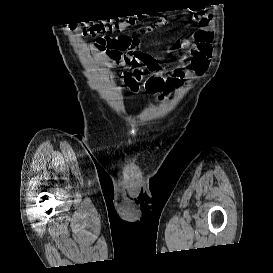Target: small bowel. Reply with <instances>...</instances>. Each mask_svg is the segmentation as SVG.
Here are the masks:
<instances>
[{
	"instance_id": "c3829d8e",
	"label": "small bowel",
	"mask_w": 273,
	"mask_h": 273,
	"mask_svg": "<svg viewBox=\"0 0 273 273\" xmlns=\"http://www.w3.org/2000/svg\"><path fill=\"white\" fill-rule=\"evenodd\" d=\"M192 20L197 25L196 31L189 39L177 40L167 50L168 54L181 58L179 64L170 70L164 71L157 62L162 54L147 53L131 46V37L127 35L100 37L94 43V48L107 61L127 68L118 74V79L130 93L136 94L144 86L150 96L160 93L158 99L161 100L186 82L203 75L209 67L214 39L211 17L195 14ZM162 25V22H157L147 29L154 31ZM188 65L191 69L187 68ZM145 71L149 72L148 77Z\"/></svg>"
}]
</instances>
